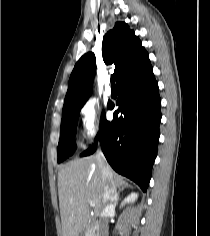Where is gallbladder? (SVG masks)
Instances as JSON below:
<instances>
[{
  "instance_id": "1",
  "label": "gallbladder",
  "mask_w": 210,
  "mask_h": 236,
  "mask_svg": "<svg viewBox=\"0 0 210 236\" xmlns=\"http://www.w3.org/2000/svg\"><path fill=\"white\" fill-rule=\"evenodd\" d=\"M80 236H84V233H82Z\"/></svg>"
}]
</instances>
